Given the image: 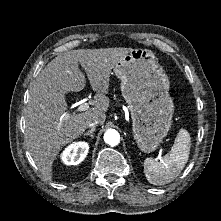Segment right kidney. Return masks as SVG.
Masks as SVG:
<instances>
[{
  "instance_id": "obj_1",
  "label": "right kidney",
  "mask_w": 221,
  "mask_h": 221,
  "mask_svg": "<svg viewBox=\"0 0 221 221\" xmlns=\"http://www.w3.org/2000/svg\"><path fill=\"white\" fill-rule=\"evenodd\" d=\"M89 145L86 142H74L61 154V160L66 165H78L87 156Z\"/></svg>"
}]
</instances>
